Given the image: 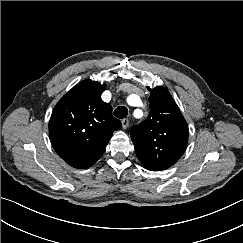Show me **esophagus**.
Returning a JSON list of instances; mask_svg holds the SVG:
<instances>
[{
    "instance_id": "obj_1",
    "label": "esophagus",
    "mask_w": 243,
    "mask_h": 243,
    "mask_svg": "<svg viewBox=\"0 0 243 243\" xmlns=\"http://www.w3.org/2000/svg\"><path fill=\"white\" fill-rule=\"evenodd\" d=\"M121 123H122V127L126 129L129 125V120L127 118L122 119Z\"/></svg>"
}]
</instances>
